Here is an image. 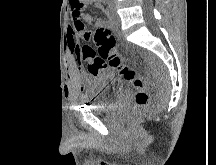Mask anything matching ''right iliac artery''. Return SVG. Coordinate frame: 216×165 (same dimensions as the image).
<instances>
[{"label": "right iliac artery", "mask_w": 216, "mask_h": 165, "mask_svg": "<svg viewBox=\"0 0 216 165\" xmlns=\"http://www.w3.org/2000/svg\"><path fill=\"white\" fill-rule=\"evenodd\" d=\"M109 8L112 9V2L109 1Z\"/></svg>", "instance_id": "obj_1"}]
</instances>
